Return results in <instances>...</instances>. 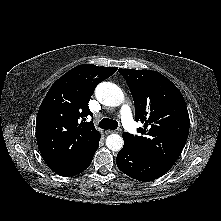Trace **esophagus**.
<instances>
[{"mask_svg": "<svg viewBox=\"0 0 221 221\" xmlns=\"http://www.w3.org/2000/svg\"><path fill=\"white\" fill-rule=\"evenodd\" d=\"M121 129H117V130H107L106 134H111V133H120Z\"/></svg>", "mask_w": 221, "mask_h": 221, "instance_id": "34e87169", "label": "esophagus"}]
</instances>
